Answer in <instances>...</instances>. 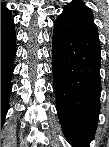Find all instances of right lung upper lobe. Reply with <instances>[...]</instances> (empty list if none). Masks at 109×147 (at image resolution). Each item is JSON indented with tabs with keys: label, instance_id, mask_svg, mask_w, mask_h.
<instances>
[{
	"label": "right lung upper lobe",
	"instance_id": "obj_1",
	"mask_svg": "<svg viewBox=\"0 0 109 147\" xmlns=\"http://www.w3.org/2000/svg\"><path fill=\"white\" fill-rule=\"evenodd\" d=\"M11 17V11L6 8L4 3L1 4V22Z\"/></svg>",
	"mask_w": 109,
	"mask_h": 147
}]
</instances>
